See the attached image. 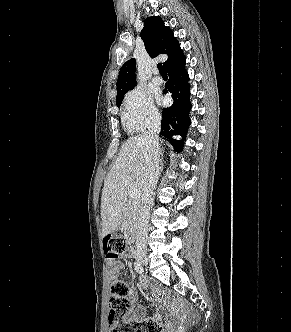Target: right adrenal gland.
<instances>
[{
    "label": "right adrenal gland",
    "mask_w": 291,
    "mask_h": 332,
    "mask_svg": "<svg viewBox=\"0 0 291 332\" xmlns=\"http://www.w3.org/2000/svg\"><path fill=\"white\" fill-rule=\"evenodd\" d=\"M160 167H161V171H162V169H163V163L161 162V165H160Z\"/></svg>",
    "instance_id": "obj_1"
}]
</instances>
